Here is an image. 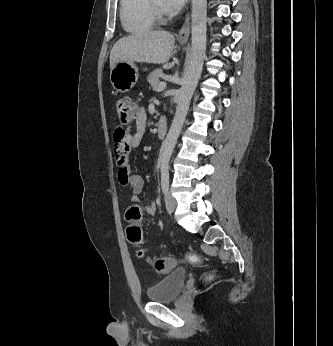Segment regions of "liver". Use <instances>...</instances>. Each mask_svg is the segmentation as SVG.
<instances>
[{"label":"liver","instance_id":"1","mask_svg":"<svg viewBox=\"0 0 333 346\" xmlns=\"http://www.w3.org/2000/svg\"><path fill=\"white\" fill-rule=\"evenodd\" d=\"M174 36L166 31H142L119 39L110 53V69L118 62L165 64L171 56Z\"/></svg>","mask_w":333,"mask_h":346}]
</instances>
